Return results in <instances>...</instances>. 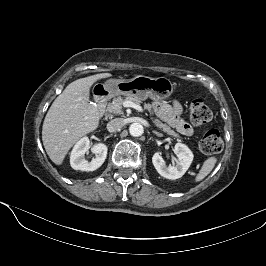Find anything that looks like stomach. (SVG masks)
<instances>
[{"label":"stomach","instance_id":"obj_1","mask_svg":"<svg viewBox=\"0 0 266 266\" xmlns=\"http://www.w3.org/2000/svg\"><path fill=\"white\" fill-rule=\"evenodd\" d=\"M103 86L110 95L133 96L139 100L151 98L154 101L168 98L174 90V84L166 77L151 78L143 75L130 80L110 79Z\"/></svg>","mask_w":266,"mask_h":266}]
</instances>
